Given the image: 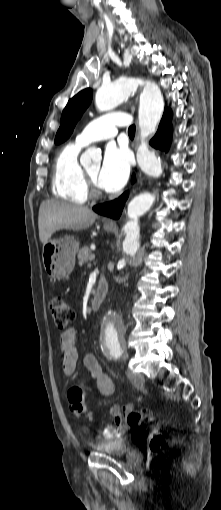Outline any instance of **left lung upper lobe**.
<instances>
[{"label": "left lung upper lobe", "mask_w": 221, "mask_h": 510, "mask_svg": "<svg viewBox=\"0 0 221 510\" xmlns=\"http://www.w3.org/2000/svg\"><path fill=\"white\" fill-rule=\"evenodd\" d=\"M92 95V89L87 88L69 100L61 115L60 128L55 137L56 144L62 143L70 137L77 121L89 106Z\"/></svg>", "instance_id": "5c2ea615"}]
</instances>
